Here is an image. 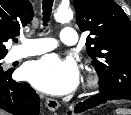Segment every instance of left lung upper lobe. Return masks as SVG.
Instances as JSON below:
<instances>
[{"label":"left lung upper lobe","instance_id":"1","mask_svg":"<svg viewBox=\"0 0 131 115\" xmlns=\"http://www.w3.org/2000/svg\"><path fill=\"white\" fill-rule=\"evenodd\" d=\"M77 24L99 74L100 91L131 93V21L113 0H74Z\"/></svg>","mask_w":131,"mask_h":115}]
</instances>
